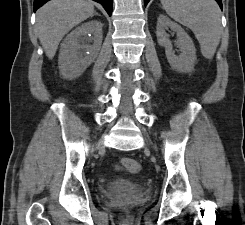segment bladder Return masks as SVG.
<instances>
[{
  "label": "bladder",
  "mask_w": 245,
  "mask_h": 225,
  "mask_svg": "<svg viewBox=\"0 0 245 225\" xmlns=\"http://www.w3.org/2000/svg\"><path fill=\"white\" fill-rule=\"evenodd\" d=\"M111 188H114L120 194L129 195L140 189L141 186L130 181H117L111 185Z\"/></svg>",
  "instance_id": "31cf9c89"
}]
</instances>
